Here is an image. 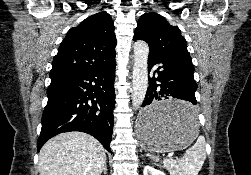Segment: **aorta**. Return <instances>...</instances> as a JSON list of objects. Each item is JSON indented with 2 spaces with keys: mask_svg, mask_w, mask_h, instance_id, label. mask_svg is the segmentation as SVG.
Segmentation results:
<instances>
[{
  "mask_svg": "<svg viewBox=\"0 0 251 175\" xmlns=\"http://www.w3.org/2000/svg\"><path fill=\"white\" fill-rule=\"evenodd\" d=\"M134 64L132 72V105L139 107L143 103L148 88V56L149 48L145 42H135Z\"/></svg>",
  "mask_w": 251,
  "mask_h": 175,
  "instance_id": "obj_1",
  "label": "aorta"
}]
</instances>
